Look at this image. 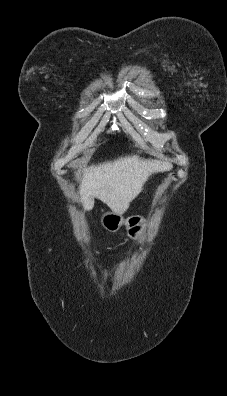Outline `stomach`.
Returning a JSON list of instances; mask_svg holds the SVG:
<instances>
[{
	"label": "stomach",
	"mask_w": 227,
	"mask_h": 396,
	"mask_svg": "<svg viewBox=\"0 0 227 396\" xmlns=\"http://www.w3.org/2000/svg\"><path fill=\"white\" fill-rule=\"evenodd\" d=\"M101 225L110 232H116L125 224L127 235L132 240H139L147 230V221L139 215L131 216L124 220L123 216L117 212H106L101 216Z\"/></svg>",
	"instance_id": "obj_1"
}]
</instances>
